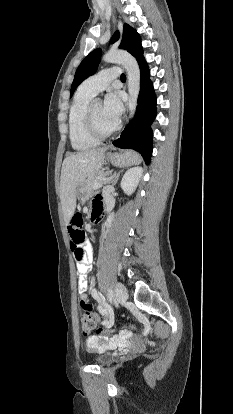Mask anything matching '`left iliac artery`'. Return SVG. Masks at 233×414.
Masks as SVG:
<instances>
[{"label":"left iliac artery","mask_w":233,"mask_h":414,"mask_svg":"<svg viewBox=\"0 0 233 414\" xmlns=\"http://www.w3.org/2000/svg\"><path fill=\"white\" fill-rule=\"evenodd\" d=\"M107 292H108V299H109V302H112V299H113V296H114V293H113V291H112V289H108L107 290Z\"/></svg>","instance_id":"1"}]
</instances>
